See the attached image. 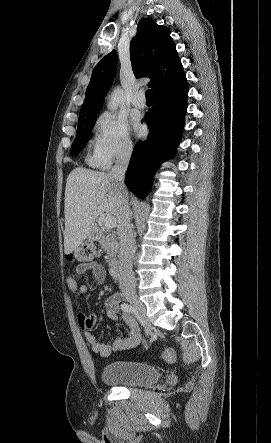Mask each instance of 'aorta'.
Listing matches in <instances>:
<instances>
[{"mask_svg":"<svg viewBox=\"0 0 271 443\" xmlns=\"http://www.w3.org/2000/svg\"><path fill=\"white\" fill-rule=\"evenodd\" d=\"M123 100L124 92L121 90V88H119V86H117V88H114L111 94L110 102L107 104L108 110H112V112H114V110H117L119 104H122Z\"/></svg>","mask_w":271,"mask_h":443,"instance_id":"aorta-1","label":"aorta"}]
</instances>
